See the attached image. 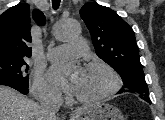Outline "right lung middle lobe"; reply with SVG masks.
Listing matches in <instances>:
<instances>
[{
    "label": "right lung middle lobe",
    "instance_id": "right-lung-middle-lobe-1",
    "mask_svg": "<svg viewBox=\"0 0 165 120\" xmlns=\"http://www.w3.org/2000/svg\"><path fill=\"white\" fill-rule=\"evenodd\" d=\"M29 66L25 58L0 59V82L17 83L28 87Z\"/></svg>",
    "mask_w": 165,
    "mask_h": 120
}]
</instances>
